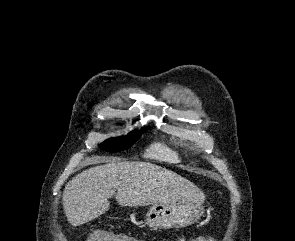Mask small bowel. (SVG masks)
I'll return each mask as SVG.
<instances>
[{
  "instance_id": "small-bowel-1",
  "label": "small bowel",
  "mask_w": 295,
  "mask_h": 241,
  "mask_svg": "<svg viewBox=\"0 0 295 241\" xmlns=\"http://www.w3.org/2000/svg\"><path fill=\"white\" fill-rule=\"evenodd\" d=\"M212 239H213V238H212ZM214 240H215V239H214ZM132 241H141V240H138V239H134V238H133ZM215 241H216V240H215Z\"/></svg>"
}]
</instances>
